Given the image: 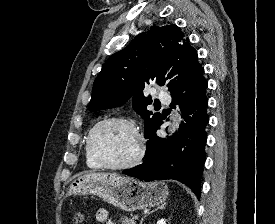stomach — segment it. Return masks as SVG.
<instances>
[{"label":"stomach","mask_w":275,"mask_h":224,"mask_svg":"<svg viewBox=\"0 0 275 224\" xmlns=\"http://www.w3.org/2000/svg\"><path fill=\"white\" fill-rule=\"evenodd\" d=\"M73 195H96L121 210L132 212L162 204L169 192L164 182L142 181L110 173H89L75 178Z\"/></svg>","instance_id":"obj_1"}]
</instances>
